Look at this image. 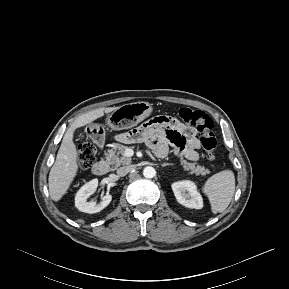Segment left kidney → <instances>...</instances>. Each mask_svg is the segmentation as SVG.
Returning <instances> with one entry per match:
<instances>
[{"instance_id": "1", "label": "left kidney", "mask_w": 289, "mask_h": 289, "mask_svg": "<svg viewBox=\"0 0 289 289\" xmlns=\"http://www.w3.org/2000/svg\"><path fill=\"white\" fill-rule=\"evenodd\" d=\"M172 190L177 201L183 206L191 209H201L203 199L192 181H179L172 184Z\"/></svg>"}]
</instances>
